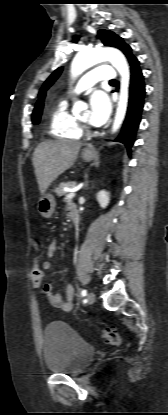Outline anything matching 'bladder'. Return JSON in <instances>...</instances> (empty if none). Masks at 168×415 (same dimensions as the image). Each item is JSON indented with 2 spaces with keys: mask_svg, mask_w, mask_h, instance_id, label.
Listing matches in <instances>:
<instances>
[{
  "mask_svg": "<svg viewBox=\"0 0 168 415\" xmlns=\"http://www.w3.org/2000/svg\"><path fill=\"white\" fill-rule=\"evenodd\" d=\"M94 355V348L68 324L54 321L46 326L43 333V357L50 372L78 375Z\"/></svg>",
  "mask_w": 168,
  "mask_h": 415,
  "instance_id": "obj_1",
  "label": "bladder"
}]
</instances>
